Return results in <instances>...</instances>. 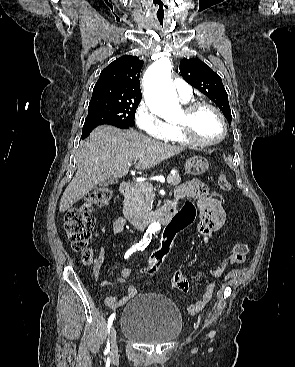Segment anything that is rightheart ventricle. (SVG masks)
Listing matches in <instances>:
<instances>
[{"instance_id":"e07e8e85","label":"right heart ventricle","mask_w":295,"mask_h":367,"mask_svg":"<svg viewBox=\"0 0 295 367\" xmlns=\"http://www.w3.org/2000/svg\"><path fill=\"white\" fill-rule=\"evenodd\" d=\"M167 142L176 143L180 145H190L191 143L183 136L176 123H169V131L163 139Z\"/></svg>"}]
</instances>
